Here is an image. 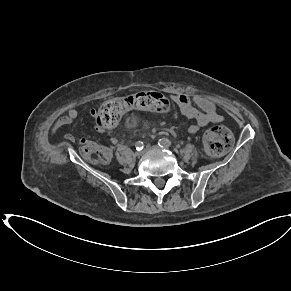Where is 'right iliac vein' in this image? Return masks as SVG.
<instances>
[{
	"mask_svg": "<svg viewBox=\"0 0 291 291\" xmlns=\"http://www.w3.org/2000/svg\"><path fill=\"white\" fill-rule=\"evenodd\" d=\"M135 157H140L142 155V152H135Z\"/></svg>",
	"mask_w": 291,
	"mask_h": 291,
	"instance_id": "right-iliac-vein-1",
	"label": "right iliac vein"
}]
</instances>
